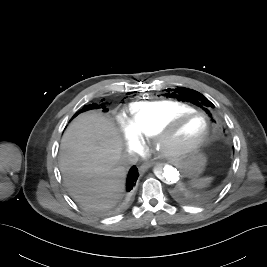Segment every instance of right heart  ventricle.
<instances>
[{"instance_id":"e07e8e85","label":"right heart ventricle","mask_w":267,"mask_h":267,"mask_svg":"<svg viewBox=\"0 0 267 267\" xmlns=\"http://www.w3.org/2000/svg\"><path fill=\"white\" fill-rule=\"evenodd\" d=\"M190 110L194 108L181 101H138L129 105L126 117L134 133L140 137L151 138L164 122Z\"/></svg>"}]
</instances>
